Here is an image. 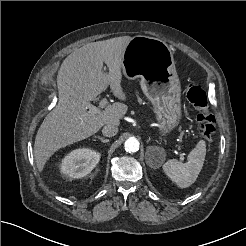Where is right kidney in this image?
Segmentation results:
<instances>
[{"instance_id": "ca27d5eb", "label": "right kidney", "mask_w": 246, "mask_h": 246, "mask_svg": "<svg viewBox=\"0 0 246 246\" xmlns=\"http://www.w3.org/2000/svg\"><path fill=\"white\" fill-rule=\"evenodd\" d=\"M100 154L90 148H78L68 153L60 165L61 173L71 178H82L98 164Z\"/></svg>"}]
</instances>
